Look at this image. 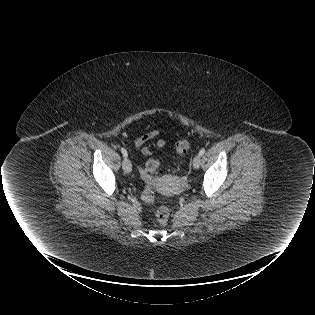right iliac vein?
<instances>
[{
	"instance_id": "1",
	"label": "right iliac vein",
	"mask_w": 315,
	"mask_h": 315,
	"mask_svg": "<svg viewBox=\"0 0 315 315\" xmlns=\"http://www.w3.org/2000/svg\"><path fill=\"white\" fill-rule=\"evenodd\" d=\"M122 167L125 173H130L132 170V166L131 163L129 161V159L125 158L122 162Z\"/></svg>"
}]
</instances>
